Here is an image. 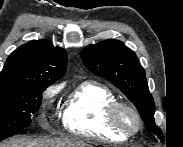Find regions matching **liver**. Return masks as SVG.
Returning a JSON list of instances; mask_svg holds the SVG:
<instances>
[{
    "instance_id": "1",
    "label": "liver",
    "mask_w": 183,
    "mask_h": 147,
    "mask_svg": "<svg viewBox=\"0 0 183 147\" xmlns=\"http://www.w3.org/2000/svg\"><path fill=\"white\" fill-rule=\"evenodd\" d=\"M0 147H92L76 137L65 138H13Z\"/></svg>"
}]
</instances>
